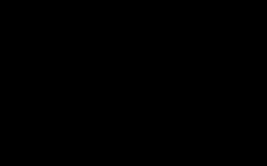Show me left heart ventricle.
I'll list each match as a JSON object with an SVG mask.
<instances>
[{
    "mask_svg": "<svg viewBox=\"0 0 267 166\" xmlns=\"http://www.w3.org/2000/svg\"><path fill=\"white\" fill-rule=\"evenodd\" d=\"M163 38H162V50H163V56L162 58H160V62L158 65H162L164 63V61L166 60V58H168L169 55V51H170V45H169V38L167 37V35L162 34Z\"/></svg>",
    "mask_w": 267,
    "mask_h": 166,
    "instance_id": "obj_1",
    "label": "left heart ventricle"
}]
</instances>
